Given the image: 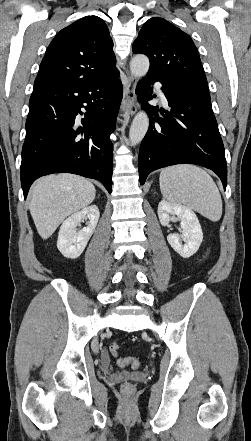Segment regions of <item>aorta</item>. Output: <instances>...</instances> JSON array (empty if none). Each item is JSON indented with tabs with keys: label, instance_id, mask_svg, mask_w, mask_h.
Wrapping results in <instances>:
<instances>
[{
	"label": "aorta",
	"instance_id": "aorta-1",
	"mask_svg": "<svg viewBox=\"0 0 251 441\" xmlns=\"http://www.w3.org/2000/svg\"><path fill=\"white\" fill-rule=\"evenodd\" d=\"M149 69V59L145 55H136L130 62V70L134 76H145ZM149 127V118L146 112H138L131 124L129 139L132 145L142 141Z\"/></svg>",
	"mask_w": 251,
	"mask_h": 441
}]
</instances>
